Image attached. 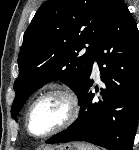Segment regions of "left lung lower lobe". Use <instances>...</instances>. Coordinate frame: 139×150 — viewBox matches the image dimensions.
I'll return each instance as SVG.
<instances>
[{"mask_svg": "<svg viewBox=\"0 0 139 150\" xmlns=\"http://www.w3.org/2000/svg\"><path fill=\"white\" fill-rule=\"evenodd\" d=\"M94 60L105 84L100 95L92 92L91 66L78 95V119L46 143L86 141L108 150H132L139 118V32L122 0L113 4L92 65Z\"/></svg>", "mask_w": 139, "mask_h": 150, "instance_id": "left-lung-lower-lobe-1", "label": "left lung lower lobe"}]
</instances>
